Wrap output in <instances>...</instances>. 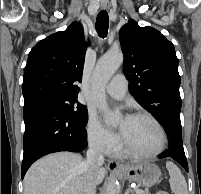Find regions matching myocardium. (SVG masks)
<instances>
[{"instance_id":"obj_1","label":"myocardium","mask_w":201,"mask_h":194,"mask_svg":"<svg viewBox=\"0 0 201 194\" xmlns=\"http://www.w3.org/2000/svg\"><path fill=\"white\" fill-rule=\"evenodd\" d=\"M132 117L146 118V119L150 120L152 123H154V125L157 127V129L160 133L161 143L156 150L145 153V152H139V151L134 150L127 144V142L124 140V138H122V146H123L124 152L127 155L137 157V158H142V159L154 158V157L160 155L166 149V147L168 145V135H167L165 128L161 124V122L152 114H150L148 112H143V111L134 113L132 115Z\"/></svg>"}]
</instances>
